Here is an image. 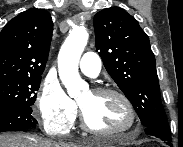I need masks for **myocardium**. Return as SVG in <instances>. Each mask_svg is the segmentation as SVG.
Segmentation results:
<instances>
[{
    "label": "myocardium",
    "instance_id": "myocardium-1",
    "mask_svg": "<svg viewBox=\"0 0 183 147\" xmlns=\"http://www.w3.org/2000/svg\"><path fill=\"white\" fill-rule=\"evenodd\" d=\"M96 95H113L118 97L126 106L128 113H129V124L127 127L119 130H100L94 128L88 121L85 112L83 108L80 107V120L81 125L83 129L91 134L94 135H101V136H116V135H123L132 132L136 126H137V113L136 109L132 103V101L129 99L127 95H125L123 92L109 87H98L91 90Z\"/></svg>",
    "mask_w": 183,
    "mask_h": 147
}]
</instances>
